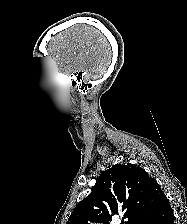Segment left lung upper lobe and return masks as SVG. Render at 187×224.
I'll return each mask as SVG.
<instances>
[{"instance_id":"left-lung-upper-lobe-1","label":"left lung upper lobe","mask_w":187,"mask_h":224,"mask_svg":"<svg viewBox=\"0 0 187 224\" xmlns=\"http://www.w3.org/2000/svg\"><path fill=\"white\" fill-rule=\"evenodd\" d=\"M160 193L159 184L143 168L117 164L100 174L66 224H110L112 216L121 213L128 219L121 224H146Z\"/></svg>"}]
</instances>
